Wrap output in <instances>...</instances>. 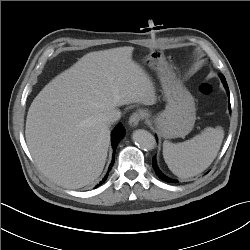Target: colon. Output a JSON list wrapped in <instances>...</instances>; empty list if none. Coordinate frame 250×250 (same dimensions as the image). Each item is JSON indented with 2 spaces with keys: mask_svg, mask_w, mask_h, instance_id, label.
Segmentation results:
<instances>
[{
  "mask_svg": "<svg viewBox=\"0 0 250 250\" xmlns=\"http://www.w3.org/2000/svg\"><path fill=\"white\" fill-rule=\"evenodd\" d=\"M200 91L203 95H209L212 91L211 85L204 83L200 86Z\"/></svg>",
  "mask_w": 250,
  "mask_h": 250,
  "instance_id": "5ec220e1",
  "label": "colon"
}]
</instances>
